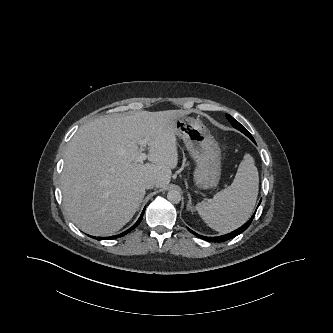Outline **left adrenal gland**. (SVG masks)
<instances>
[{
	"label": "left adrenal gland",
	"instance_id": "obj_1",
	"mask_svg": "<svg viewBox=\"0 0 333 333\" xmlns=\"http://www.w3.org/2000/svg\"><path fill=\"white\" fill-rule=\"evenodd\" d=\"M188 205H187V210L193 211V207H192V200H191V195L190 193H188Z\"/></svg>",
	"mask_w": 333,
	"mask_h": 333
}]
</instances>
